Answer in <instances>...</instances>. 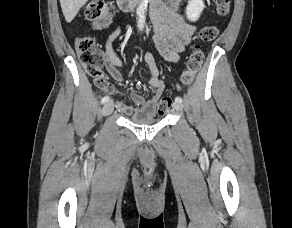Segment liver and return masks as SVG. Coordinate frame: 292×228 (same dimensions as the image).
<instances>
[{"label": "liver", "instance_id": "liver-1", "mask_svg": "<svg viewBox=\"0 0 292 228\" xmlns=\"http://www.w3.org/2000/svg\"><path fill=\"white\" fill-rule=\"evenodd\" d=\"M88 0H60L66 22L70 23Z\"/></svg>", "mask_w": 292, "mask_h": 228}]
</instances>
